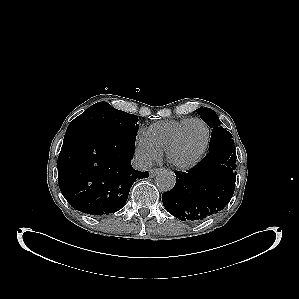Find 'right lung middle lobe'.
<instances>
[{
  "mask_svg": "<svg viewBox=\"0 0 299 299\" xmlns=\"http://www.w3.org/2000/svg\"><path fill=\"white\" fill-rule=\"evenodd\" d=\"M138 117L117 110L106 102H98L76 117L68 126L66 134L71 132H118L136 134Z\"/></svg>",
  "mask_w": 299,
  "mask_h": 299,
  "instance_id": "1",
  "label": "right lung middle lobe"
}]
</instances>
